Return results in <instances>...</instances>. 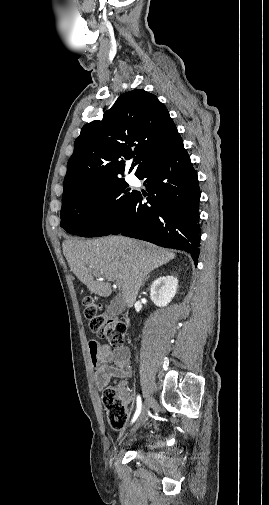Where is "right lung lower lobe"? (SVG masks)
Masks as SVG:
<instances>
[{"label":"right lung lower lobe","mask_w":269,"mask_h":505,"mask_svg":"<svg viewBox=\"0 0 269 505\" xmlns=\"http://www.w3.org/2000/svg\"><path fill=\"white\" fill-rule=\"evenodd\" d=\"M146 179L147 202L136 192L120 224L110 234L189 252L195 265L200 246L199 181L183 143L137 176Z\"/></svg>","instance_id":"1"}]
</instances>
